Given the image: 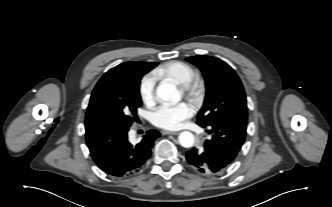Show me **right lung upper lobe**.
<instances>
[{
    "mask_svg": "<svg viewBox=\"0 0 332 207\" xmlns=\"http://www.w3.org/2000/svg\"><path fill=\"white\" fill-rule=\"evenodd\" d=\"M156 62H153V63H146V62H125V63H122L112 69H110L109 71H114V70H117V69H120V68H124V67H127V66H130V65H134V64H139V65H143V66H146V67H150V68H153L155 67Z\"/></svg>",
    "mask_w": 332,
    "mask_h": 207,
    "instance_id": "right-lung-upper-lobe-1",
    "label": "right lung upper lobe"
}]
</instances>
